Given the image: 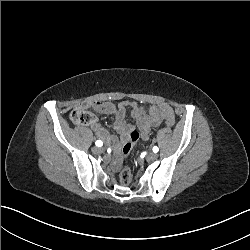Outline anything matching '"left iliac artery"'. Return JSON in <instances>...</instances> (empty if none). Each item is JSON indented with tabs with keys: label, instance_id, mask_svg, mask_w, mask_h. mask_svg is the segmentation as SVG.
<instances>
[{
	"label": "left iliac artery",
	"instance_id": "44dca946",
	"mask_svg": "<svg viewBox=\"0 0 250 250\" xmlns=\"http://www.w3.org/2000/svg\"><path fill=\"white\" fill-rule=\"evenodd\" d=\"M158 151H159V148H158L157 146H154V147H153V152H154V153H157Z\"/></svg>",
	"mask_w": 250,
	"mask_h": 250
}]
</instances>
